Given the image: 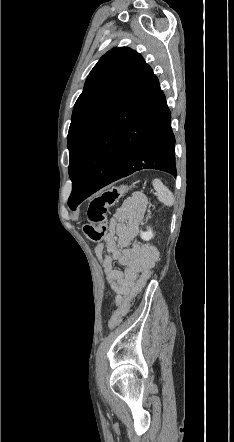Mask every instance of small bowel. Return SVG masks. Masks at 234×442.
<instances>
[{
	"label": "small bowel",
	"instance_id": "1",
	"mask_svg": "<svg viewBox=\"0 0 234 442\" xmlns=\"http://www.w3.org/2000/svg\"><path fill=\"white\" fill-rule=\"evenodd\" d=\"M147 203V198L140 193L126 199L111 218L104 240L95 247V254L115 292L113 302L116 306H122L139 274L150 271L158 259L153 247L131 245L145 216ZM115 262L124 270L115 268Z\"/></svg>",
	"mask_w": 234,
	"mask_h": 442
}]
</instances>
